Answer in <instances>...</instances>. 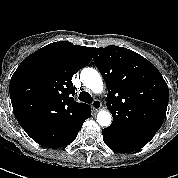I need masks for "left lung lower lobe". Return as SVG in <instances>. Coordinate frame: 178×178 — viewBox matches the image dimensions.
<instances>
[{"label": "left lung lower lobe", "mask_w": 178, "mask_h": 178, "mask_svg": "<svg viewBox=\"0 0 178 178\" xmlns=\"http://www.w3.org/2000/svg\"><path fill=\"white\" fill-rule=\"evenodd\" d=\"M103 134V140L105 144L112 150L120 153H128V152H133L136 151L142 147L130 144L128 142H125L123 140H120L114 136H112L110 133L105 131L104 129L102 130Z\"/></svg>", "instance_id": "left-lung-lower-lobe-1"}]
</instances>
